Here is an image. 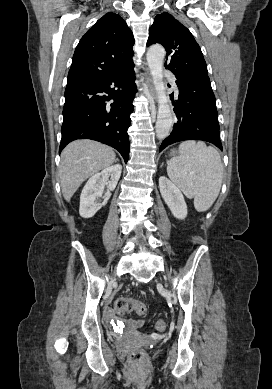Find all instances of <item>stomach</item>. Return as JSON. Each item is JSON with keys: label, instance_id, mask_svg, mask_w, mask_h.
I'll use <instances>...</instances> for the list:
<instances>
[{"label": "stomach", "instance_id": "0dacf381", "mask_svg": "<svg viewBox=\"0 0 272 389\" xmlns=\"http://www.w3.org/2000/svg\"><path fill=\"white\" fill-rule=\"evenodd\" d=\"M175 154V151H172L171 155H174Z\"/></svg>", "mask_w": 272, "mask_h": 389}]
</instances>
